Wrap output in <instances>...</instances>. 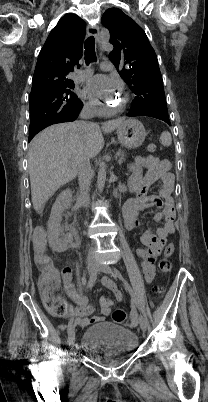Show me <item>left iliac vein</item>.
Returning a JSON list of instances; mask_svg holds the SVG:
<instances>
[{
	"mask_svg": "<svg viewBox=\"0 0 208 402\" xmlns=\"http://www.w3.org/2000/svg\"><path fill=\"white\" fill-rule=\"evenodd\" d=\"M97 269L100 272L106 273V274H108V275H110L112 277H116V274L114 273V271L106 263H99L97 265ZM139 324H140V327H141L142 331L145 332L146 329H147V323H146L145 317L142 314L139 315Z\"/></svg>",
	"mask_w": 208,
	"mask_h": 402,
	"instance_id": "4c4485c4",
	"label": "left iliac vein"
}]
</instances>
